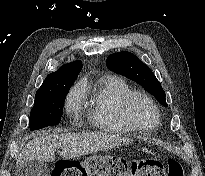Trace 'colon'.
I'll list each match as a JSON object with an SVG mask.
<instances>
[{
	"instance_id": "5ec220e1",
	"label": "colon",
	"mask_w": 205,
	"mask_h": 176,
	"mask_svg": "<svg viewBox=\"0 0 205 176\" xmlns=\"http://www.w3.org/2000/svg\"><path fill=\"white\" fill-rule=\"evenodd\" d=\"M183 176L179 161L168 159L167 168L154 159H135L131 162L121 157L88 156L83 160L58 158L51 176Z\"/></svg>"
}]
</instances>
